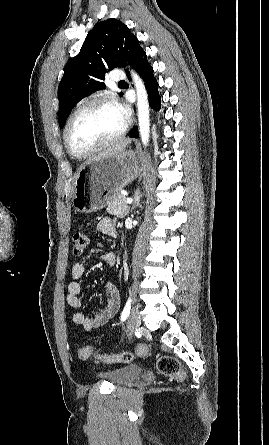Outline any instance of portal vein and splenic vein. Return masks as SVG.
I'll return each mask as SVG.
<instances>
[{"label":"portal vein and splenic vein","mask_w":269,"mask_h":445,"mask_svg":"<svg viewBox=\"0 0 269 445\" xmlns=\"http://www.w3.org/2000/svg\"><path fill=\"white\" fill-rule=\"evenodd\" d=\"M125 202H126L127 204H131V203L133 202V199H132V198H127V199L125 200Z\"/></svg>","instance_id":"18ae733b"}]
</instances>
